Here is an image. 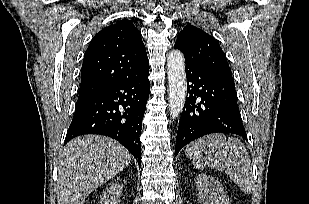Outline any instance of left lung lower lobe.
Listing matches in <instances>:
<instances>
[{
	"instance_id": "obj_1",
	"label": "left lung lower lobe",
	"mask_w": 309,
	"mask_h": 204,
	"mask_svg": "<svg viewBox=\"0 0 309 204\" xmlns=\"http://www.w3.org/2000/svg\"><path fill=\"white\" fill-rule=\"evenodd\" d=\"M186 77L188 96L179 122L175 154L191 141L211 133H232L247 140L233 78L191 63H186Z\"/></svg>"
}]
</instances>
